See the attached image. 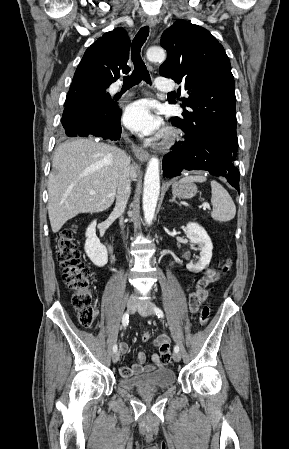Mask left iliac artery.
<instances>
[{
	"label": "left iliac artery",
	"instance_id": "44dca946",
	"mask_svg": "<svg viewBox=\"0 0 289 449\" xmlns=\"http://www.w3.org/2000/svg\"><path fill=\"white\" fill-rule=\"evenodd\" d=\"M153 309H154L155 314H156L159 318H163V317H164L163 311H162L160 308L154 306ZM174 352H179V346H178V345H176V346L174 347Z\"/></svg>",
	"mask_w": 289,
	"mask_h": 449
}]
</instances>
